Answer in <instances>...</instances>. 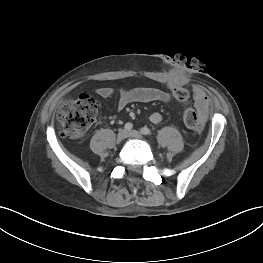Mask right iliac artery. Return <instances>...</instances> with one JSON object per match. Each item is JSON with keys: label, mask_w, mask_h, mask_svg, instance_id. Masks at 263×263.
<instances>
[{"label": "right iliac artery", "mask_w": 263, "mask_h": 263, "mask_svg": "<svg viewBox=\"0 0 263 263\" xmlns=\"http://www.w3.org/2000/svg\"><path fill=\"white\" fill-rule=\"evenodd\" d=\"M124 128H125L126 130L130 131V130H132L133 125H132V123H129V122H128V123L125 124Z\"/></svg>", "instance_id": "1"}]
</instances>
